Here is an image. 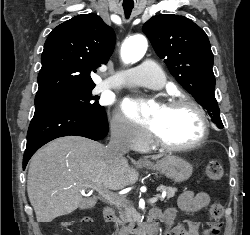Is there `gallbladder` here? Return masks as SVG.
Wrapping results in <instances>:
<instances>
[{"label":"gallbladder","mask_w":250,"mask_h":235,"mask_svg":"<svg viewBox=\"0 0 250 235\" xmlns=\"http://www.w3.org/2000/svg\"><path fill=\"white\" fill-rule=\"evenodd\" d=\"M80 207H81L82 209H85V208H89L90 206H89L86 202H84V203L81 204Z\"/></svg>","instance_id":"bac80fb5"}]
</instances>
